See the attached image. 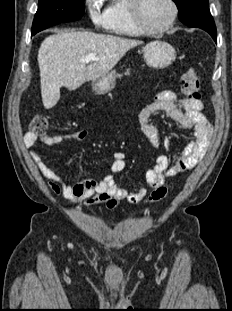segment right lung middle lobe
Instances as JSON below:
<instances>
[{"label":"right lung middle lobe","instance_id":"dd1d6c3e","mask_svg":"<svg viewBox=\"0 0 232 311\" xmlns=\"http://www.w3.org/2000/svg\"><path fill=\"white\" fill-rule=\"evenodd\" d=\"M84 13V0H39L32 34L50 26L78 20Z\"/></svg>","mask_w":232,"mask_h":311}]
</instances>
